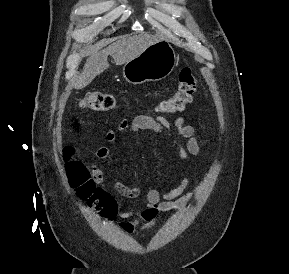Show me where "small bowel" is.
<instances>
[{
  "mask_svg": "<svg viewBox=\"0 0 289 274\" xmlns=\"http://www.w3.org/2000/svg\"><path fill=\"white\" fill-rule=\"evenodd\" d=\"M129 127L135 132L145 130L158 134L164 131L171 132L175 136L178 157L182 161L188 160L190 156L200 155L201 150L195 128L186 124L183 117L176 118L174 123L171 124L164 118L138 115L132 120L131 124L125 119L121 120L118 124V131H126ZM116 137L114 130L106 132V138L109 142H115ZM179 137L186 139V142L182 143ZM96 156L107 161H112L113 159L110 150L106 146H99L96 150ZM91 175L96 184L102 185L104 183V174L96 165H92ZM188 181V177L185 176L176 187L164 192L153 188L149 189L146 193V207L143 210L134 212L121 209L119 211L120 217L132 219L131 221L120 223V228L126 233H141L153 228L160 213L174 209L178 205L186 204L192 199L196 190L185 192ZM113 187L122 197L128 199H135L141 193L139 188L128 187L120 181H115Z\"/></svg>",
  "mask_w": 289,
  "mask_h": 274,
  "instance_id": "small-bowel-1",
  "label": "small bowel"
}]
</instances>
